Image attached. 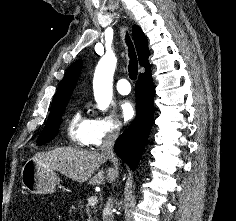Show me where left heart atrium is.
Listing matches in <instances>:
<instances>
[{
  "instance_id": "obj_1",
  "label": "left heart atrium",
  "mask_w": 236,
  "mask_h": 221,
  "mask_svg": "<svg viewBox=\"0 0 236 221\" xmlns=\"http://www.w3.org/2000/svg\"><path fill=\"white\" fill-rule=\"evenodd\" d=\"M119 110H120V115L125 122L130 121L135 115L134 106L128 100L120 101Z\"/></svg>"
}]
</instances>
